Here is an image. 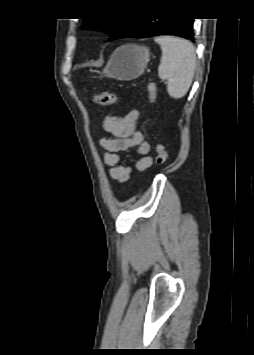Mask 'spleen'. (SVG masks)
<instances>
[{
	"mask_svg": "<svg viewBox=\"0 0 254 355\" xmlns=\"http://www.w3.org/2000/svg\"><path fill=\"white\" fill-rule=\"evenodd\" d=\"M155 42L162 50L158 75L160 79L167 80L170 97L180 99L186 95L193 81L195 47L189 41L174 36H159Z\"/></svg>",
	"mask_w": 254,
	"mask_h": 355,
	"instance_id": "obj_1",
	"label": "spleen"
}]
</instances>
